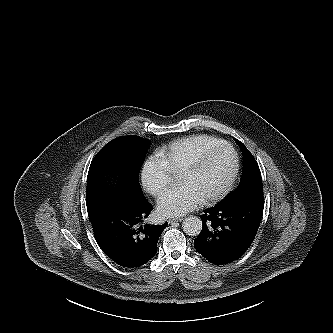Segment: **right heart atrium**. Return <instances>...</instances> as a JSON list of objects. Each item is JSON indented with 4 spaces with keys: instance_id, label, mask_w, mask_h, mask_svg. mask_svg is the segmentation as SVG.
Here are the masks:
<instances>
[{
    "instance_id": "obj_1",
    "label": "right heart atrium",
    "mask_w": 333,
    "mask_h": 333,
    "mask_svg": "<svg viewBox=\"0 0 333 333\" xmlns=\"http://www.w3.org/2000/svg\"><path fill=\"white\" fill-rule=\"evenodd\" d=\"M140 180L146 192L159 196L170 185L172 172L159 154H151L142 165Z\"/></svg>"
}]
</instances>
